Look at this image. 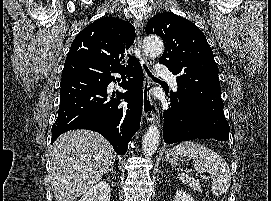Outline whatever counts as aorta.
<instances>
[{
	"mask_svg": "<svg viewBox=\"0 0 271 201\" xmlns=\"http://www.w3.org/2000/svg\"><path fill=\"white\" fill-rule=\"evenodd\" d=\"M143 50L150 58H157L163 53V42L155 35L147 36L143 42ZM160 131L156 124L147 129L142 142V150L145 156L154 154L159 146Z\"/></svg>",
	"mask_w": 271,
	"mask_h": 201,
	"instance_id": "obj_1",
	"label": "aorta"
}]
</instances>
